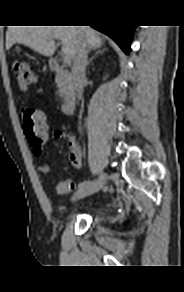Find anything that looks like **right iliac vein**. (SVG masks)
<instances>
[{"instance_id":"obj_1","label":"right iliac vein","mask_w":184,"mask_h":292,"mask_svg":"<svg viewBox=\"0 0 184 292\" xmlns=\"http://www.w3.org/2000/svg\"><path fill=\"white\" fill-rule=\"evenodd\" d=\"M107 175L106 173H101L98 180L95 181L91 186L82 188L78 190L73 196V201L80 200L89 196L97 191H99L106 183Z\"/></svg>"}]
</instances>
